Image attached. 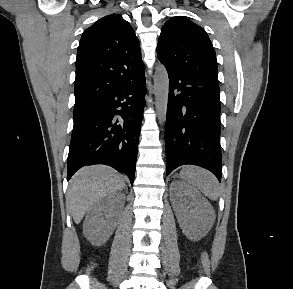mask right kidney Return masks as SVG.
<instances>
[{
    "label": "right kidney",
    "mask_w": 293,
    "mask_h": 289,
    "mask_svg": "<svg viewBox=\"0 0 293 289\" xmlns=\"http://www.w3.org/2000/svg\"><path fill=\"white\" fill-rule=\"evenodd\" d=\"M124 203L123 194H113L91 207L83 224L86 238L94 244L105 242L117 225Z\"/></svg>",
    "instance_id": "right-kidney-1"
}]
</instances>
